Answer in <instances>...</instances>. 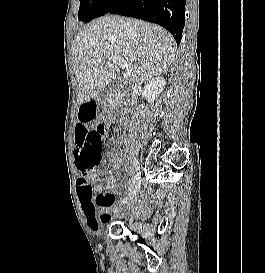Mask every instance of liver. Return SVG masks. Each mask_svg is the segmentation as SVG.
<instances>
[{"label": "liver", "instance_id": "6515ba94", "mask_svg": "<svg viewBox=\"0 0 265 273\" xmlns=\"http://www.w3.org/2000/svg\"><path fill=\"white\" fill-rule=\"evenodd\" d=\"M174 38L162 27L138 19L106 15L76 36L72 54L79 83L78 103L90 101L114 78L111 57L128 63L124 78L148 81L174 60Z\"/></svg>", "mask_w": 265, "mask_h": 273}]
</instances>
